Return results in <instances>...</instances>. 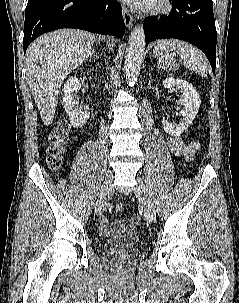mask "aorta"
<instances>
[{
  "label": "aorta",
  "mask_w": 239,
  "mask_h": 303,
  "mask_svg": "<svg viewBox=\"0 0 239 303\" xmlns=\"http://www.w3.org/2000/svg\"><path fill=\"white\" fill-rule=\"evenodd\" d=\"M144 51V29L141 25H138L131 31L124 60L125 76L130 85H134L137 82L144 57Z\"/></svg>",
  "instance_id": "aorta-1"
}]
</instances>
